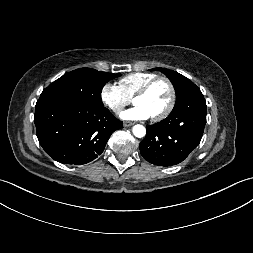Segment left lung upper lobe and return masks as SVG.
Segmentation results:
<instances>
[{"label": "left lung upper lobe", "mask_w": 253, "mask_h": 253, "mask_svg": "<svg viewBox=\"0 0 253 253\" xmlns=\"http://www.w3.org/2000/svg\"><path fill=\"white\" fill-rule=\"evenodd\" d=\"M154 70H158V71L163 72L172 82V84L175 88V91H176L175 106L183 100V98L187 95V93L193 87L196 86L192 81H190L188 78L179 74L176 71L168 70L166 68H154L149 71H154Z\"/></svg>", "instance_id": "left-lung-upper-lobe-1"}]
</instances>
